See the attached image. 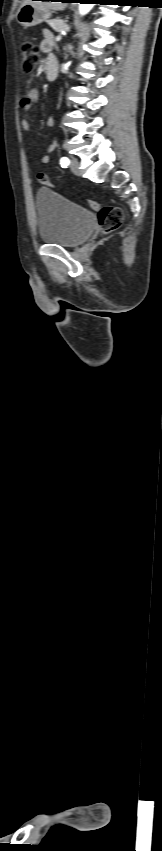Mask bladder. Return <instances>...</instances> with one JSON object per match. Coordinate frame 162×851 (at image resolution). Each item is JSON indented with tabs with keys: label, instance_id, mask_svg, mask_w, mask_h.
I'll return each mask as SVG.
<instances>
[{
	"label": "bladder",
	"instance_id": "bladder-1",
	"mask_svg": "<svg viewBox=\"0 0 162 851\" xmlns=\"http://www.w3.org/2000/svg\"><path fill=\"white\" fill-rule=\"evenodd\" d=\"M37 227L44 244L76 247L92 233L95 215L48 187L38 189L35 197Z\"/></svg>",
	"mask_w": 162,
	"mask_h": 851
}]
</instances>
